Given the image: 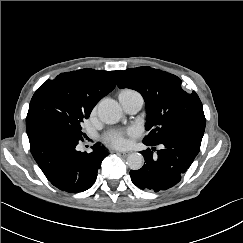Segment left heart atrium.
Segmentation results:
<instances>
[{
    "label": "left heart atrium",
    "mask_w": 243,
    "mask_h": 243,
    "mask_svg": "<svg viewBox=\"0 0 243 243\" xmlns=\"http://www.w3.org/2000/svg\"><path fill=\"white\" fill-rule=\"evenodd\" d=\"M136 135V130L129 128L127 130H111L104 136L107 145L114 148H124L128 145V138Z\"/></svg>",
    "instance_id": "left-heart-atrium-1"
}]
</instances>
